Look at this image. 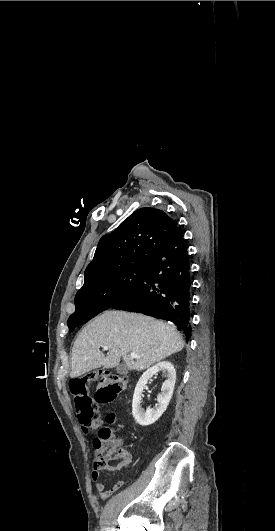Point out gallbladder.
Returning a JSON list of instances; mask_svg holds the SVG:
<instances>
[{
  "mask_svg": "<svg viewBox=\"0 0 275 531\" xmlns=\"http://www.w3.org/2000/svg\"><path fill=\"white\" fill-rule=\"evenodd\" d=\"M116 371L119 373V375H127L128 373L127 367L124 365V363H119L118 367H116Z\"/></svg>",
  "mask_w": 275,
  "mask_h": 531,
  "instance_id": "bac80fb5",
  "label": "gallbladder"
}]
</instances>
